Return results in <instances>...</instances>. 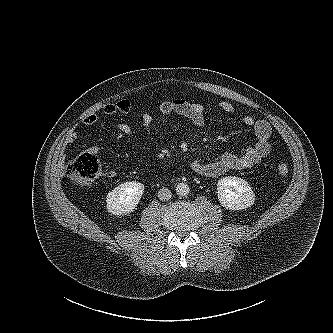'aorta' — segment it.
<instances>
[{
    "label": "aorta",
    "mask_w": 333,
    "mask_h": 333,
    "mask_svg": "<svg viewBox=\"0 0 333 333\" xmlns=\"http://www.w3.org/2000/svg\"><path fill=\"white\" fill-rule=\"evenodd\" d=\"M190 192V188L186 183H178V185L176 186V193L179 196H186L188 195Z\"/></svg>",
    "instance_id": "aorta-1"
}]
</instances>
